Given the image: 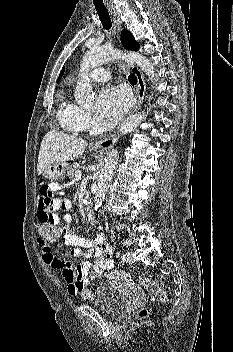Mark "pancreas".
I'll return each mask as SVG.
<instances>
[{
    "label": "pancreas",
    "instance_id": "obj_1",
    "mask_svg": "<svg viewBox=\"0 0 233 352\" xmlns=\"http://www.w3.org/2000/svg\"><path fill=\"white\" fill-rule=\"evenodd\" d=\"M78 165L77 164H73L71 166H69L67 168V176L70 178V179H74V175H75V172L78 170Z\"/></svg>",
    "mask_w": 233,
    "mask_h": 352
}]
</instances>
